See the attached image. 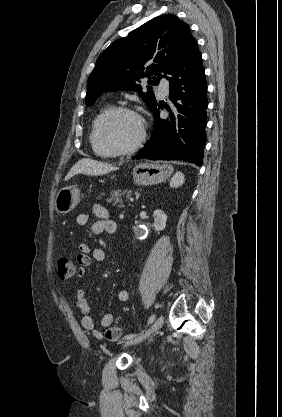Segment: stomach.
Listing matches in <instances>:
<instances>
[{"mask_svg": "<svg viewBox=\"0 0 282 417\" xmlns=\"http://www.w3.org/2000/svg\"><path fill=\"white\" fill-rule=\"evenodd\" d=\"M173 166L167 162H139L133 168V178L137 184H158L163 182L168 176H171ZM81 190L72 184V186H64L60 188L55 198V209L57 213L65 215L75 209L78 202L81 200Z\"/></svg>", "mask_w": 282, "mask_h": 417, "instance_id": "0dacf381", "label": "stomach"}]
</instances>
